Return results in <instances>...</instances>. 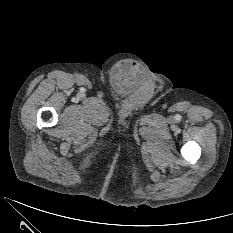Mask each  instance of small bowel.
<instances>
[{
    "label": "small bowel",
    "instance_id": "1",
    "mask_svg": "<svg viewBox=\"0 0 233 233\" xmlns=\"http://www.w3.org/2000/svg\"><path fill=\"white\" fill-rule=\"evenodd\" d=\"M110 77L114 90L119 94L127 95L143 83L145 73L139 63L123 60L112 67Z\"/></svg>",
    "mask_w": 233,
    "mask_h": 233
}]
</instances>
